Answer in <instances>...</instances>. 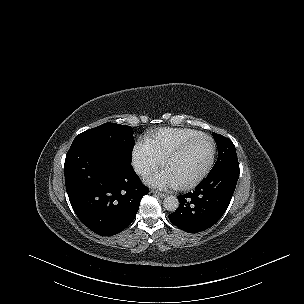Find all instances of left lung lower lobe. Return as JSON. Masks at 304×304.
<instances>
[{
	"mask_svg": "<svg viewBox=\"0 0 304 304\" xmlns=\"http://www.w3.org/2000/svg\"><path fill=\"white\" fill-rule=\"evenodd\" d=\"M238 177L239 164L209 173L193 192L177 196L180 207L169 215L170 221L189 233L211 227L228 208Z\"/></svg>",
	"mask_w": 304,
	"mask_h": 304,
	"instance_id": "left-lung-lower-lobe-1",
	"label": "left lung lower lobe"
}]
</instances>
